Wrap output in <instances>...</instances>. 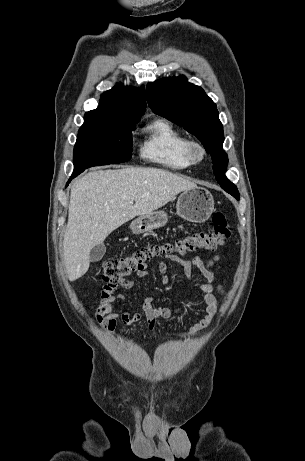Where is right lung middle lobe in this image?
<instances>
[{"label":"right lung middle lobe","mask_w":305,"mask_h":461,"mask_svg":"<svg viewBox=\"0 0 305 461\" xmlns=\"http://www.w3.org/2000/svg\"><path fill=\"white\" fill-rule=\"evenodd\" d=\"M138 120L84 117L74 147V170L128 161Z\"/></svg>","instance_id":"1"}]
</instances>
